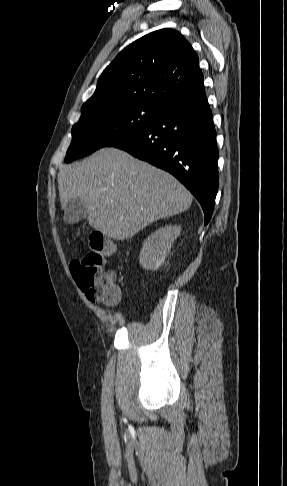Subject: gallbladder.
<instances>
[{
  "label": "gallbladder",
  "instance_id": "obj_1",
  "mask_svg": "<svg viewBox=\"0 0 287 486\" xmlns=\"http://www.w3.org/2000/svg\"><path fill=\"white\" fill-rule=\"evenodd\" d=\"M87 216L86 203L79 197L72 198L64 208V221L66 224H75Z\"/></svg>",
  "mask_w": 287,
  "mask_h": 486
}]
</instances>
